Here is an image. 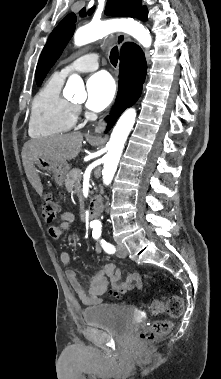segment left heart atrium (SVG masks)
I'll use <instances>...</instances> for the list:
<instances>
[{"mask_svg":"<svg viewBox=\"0 0 221 379\" xmlns=\"http://www.w3.org/2000/svg\"><path fill=\"white\" fill-rule=\"evenodd\" d=\"M86 89V106L95 112L102 111L108 107L116 93L114 80L105 72L92 75L87 81Z\"/></svg>","mask_w":221,"mask_h":379,"instance_id":"39dd6f15","label":"left heart atrium"}]
</instances>
